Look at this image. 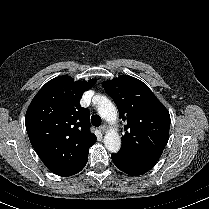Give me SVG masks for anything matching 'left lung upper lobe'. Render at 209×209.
Listing matches in <instances>:
<instances>
[{"instance_id":"5c2ea615","label":"left lung upper lobe","mask_w":209,"mask_h":209,"mask_svg":"<svg viewBox=\"0 0 209 209\" xmlns=\"http://www.w3.org/2000/svg\"><path fill=\"white\" fill-rule=\"evenodd\" d=\"M118 106L124 126L120 153L158 160L169 140L170 115L149 87L134 77L122 75L103 82Z\"/></svg>"}]
</instances>
